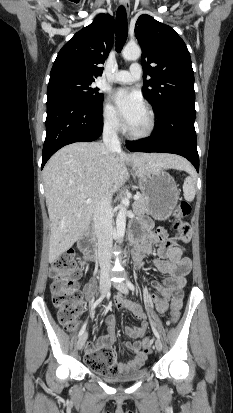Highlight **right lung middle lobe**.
<instances>
[{
  "mask_svg": "<svg viewBox=\"0 0 233 413\" xmlns=\"http://www.w3.org/2000/svg\"><path fill=\"white\" fill-rule=\"evenodd\" d=\"M94 80L78 77H64L49 81L47 89V100L53 98H72L93 108L102 109L103 95L99 89L91 84Z\"/></svg>",
  "mask_w": 233,
  "mask_h": 413,
  "instance_id": "right-lung-middle-lobe-1",
  "label": "right lung middle lobe"
}]
</instances>
